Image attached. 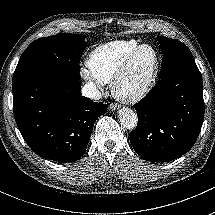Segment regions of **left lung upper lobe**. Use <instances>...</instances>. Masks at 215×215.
I'll list each match as a JSON object with an SVG mask.
<instances>
[{"instance_id":"5c2ea615","label":"left lung upper lobe","mask_w":215,"mask_h":215,"mask_svg":"<svg viewBox=\"0 0 215 215\" xmlns=\"http://www.w3.org/2000/svg\"><path fill=\"white\" fill-rule=\"evenodd\" d=\"M158 40L164 55L161 78L183 67L195 65L190 50L182 42L163 36L158 37Z\"/></svg>"}]
</instances>
